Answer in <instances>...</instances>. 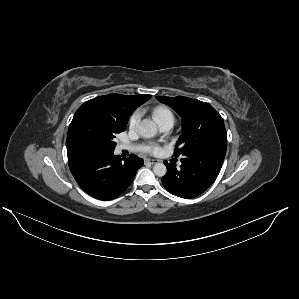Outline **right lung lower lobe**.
Here are the masks:
<instances>
[{"instance_id": "1", "label": "right lung lower lobe", "mask_w": 299, "mask_h": 299, "mask_svg": "<svg viewBox=\"0 0 299 299\" xmlns=\"http://www.w3.org/2000/svg\"><path fill=\"white\" fill-rule=\"evenodd\" d=\"M68 164L75 180L86 193L108 201L127 189L143 165V159L132 154L121 163L114 150L81 148L68 152Z\"/></svg>"}]
</instances>
